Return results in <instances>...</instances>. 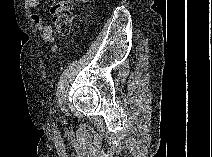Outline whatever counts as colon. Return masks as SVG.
<instances>
[{"label":"colon","instance_id":"colon-1","mask_svg":"<svg viewBox=\"0 0 212 157\" xmlns=\"http://www.w3.org/2000/svg\"><path fill=\"white\" fill-rule=\"evenodd\" d=\"M51 16L56 31L61 35H67L72 26L71 4L66 1L53 3Z\"/></svg>","mask_w":212,"mask_h":157}]
</instances>
